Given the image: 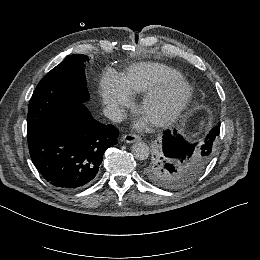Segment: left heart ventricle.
Returning <instances> with one entry per match:
<instances>
[{
	"mask_svg": "<svg viewBox=\"0 0 260 260\" xmlns=\"http://www.w3.org/2000/svg\"><path fill=\"white\" fill-rule=\"evenodd\" d=\"M181 95H182V91H181V89L178 88L171 94L169 101L170 102L176 101L180 98Z\"/></svg>",
	"mask_w": 260,
	"mask_h": 260,
	"instance_id": "obj_1",
	"label": "left heart ventricle"
}]
</instances>
